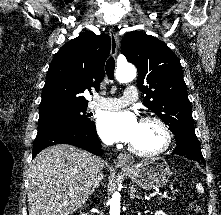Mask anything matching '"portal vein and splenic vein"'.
I'll return each instance as SVG.
<instances>
[{
  "label": "portal vein and splenic vein",
  "mask_w": 221,
  "mask_h": 215,
  "mask_svg": "<svg viewBox=\"0 0 221 215\" xmlns=\"http://www.w3.org/2000/svg\"><path fill=\"white\" fill-rule=\"evenodd\" d=\"M158 195H160L161 197H167L166 194H158ZM150 196H151V197H154V196H156V194H151Z\"/></svg>",
  "instance_id": "18ae733b"
}]
</instances>
